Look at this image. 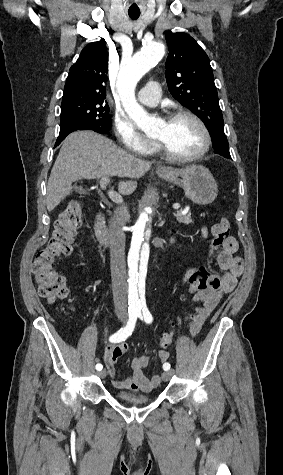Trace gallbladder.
<instances>
[{
	"instance_id": "bac80fb5",
	"label": "gallbladder",
	"mask_w": 283,
	"mask_h": 475,
	"mask_svg": "<svg viewBox=\"0 0 283 475\" xmlns=\"http://www.w3.org/2000/svg\"><path fill=\"white\" fill-rule=\"evenodd\" d=\"M76 192H79V194H86L85 190H82V188H76Z\"/></svg>"
}]
</instances>
